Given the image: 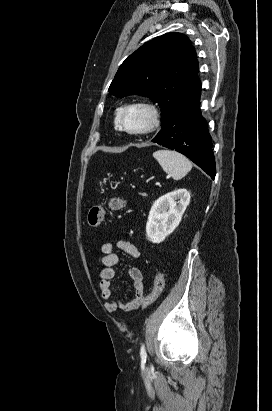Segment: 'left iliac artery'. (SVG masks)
Segmentation results:
<instances>
[{"mask_svg": "<svg viewBox=\"0 0 272 411\" xmlns=\"http://www.w3.org/2000/svg\"><path fill=\"white\" fill-rule=\"evenodd\" d=\"M140 357L142 362H146L147 354L145 350V345L143 344L140 349Z\"/></svg>", "mask_w": 272, "mask_h": 411, "instance_id": "1", "label": "left iliac artery"}]
</instances>
